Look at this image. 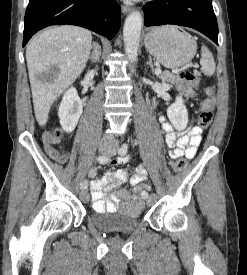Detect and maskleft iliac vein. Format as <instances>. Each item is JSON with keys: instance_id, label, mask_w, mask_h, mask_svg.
I'll list each match as a JSON object with an SVG mask.
<instances>
[{"instance_id": "4c4485c4", "label": "left iliac vein", "mask_w": 247, "mask_h": 275, "mask_svg": "<svg viewBox=\"0 0 247 275\" xmlns=\"http://www.w3.org/2000/svg\"><path fill=\"white\" fill-rule=\"evenodd\" d=\"M117 148H118L117 143H114L113 149L108 154L109 155L115 154ZM145 200L147 201V205H152L155 202V200H156V195L153 194L152 196H150L149 198H146Z\"/></svg>"}]
</instances>
